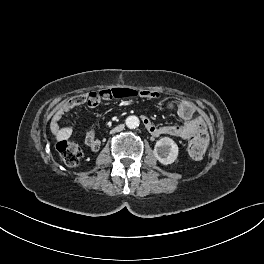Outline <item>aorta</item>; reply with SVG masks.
I'll use <instances>...</instances> for the list:
<instances>
[{
    "instance_id": "762f6f07",
    "label": "aorta",
    "mask_w": 264,
    "mask_h": 264,
    "mask_svg": "<svg viewBox=\"0 0 264 264\" xmlns=\"http://www.w3.org/2000/svg\"><path fill=\"white\" fill-rule=\"evenodd\" d=\"M139 119L136 116H129L126 118L125 123L126 126L130 129H135L139 126Z\"/></svg>"
}]
</instances>
